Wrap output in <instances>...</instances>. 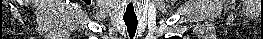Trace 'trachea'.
I'll return each mask as SVG.
<instances>
[{
	"label": "trachea",
	"instance_id": "1",
	"mask_svg": "<svg viewBox=\"0 0 263 39\" xmlns=\"http://www.w3.org/2000/svg\"><path fill=\"white\" fill-rule=\"evenodd\" d=\"M123 20L127 26V31L129 33V36L133 38L135 36V32L137 29L138 20L137 18H124Z\"/></svg>",
	"mask_w": 263,
	"mask_h": 39
}]
</instances>
